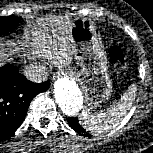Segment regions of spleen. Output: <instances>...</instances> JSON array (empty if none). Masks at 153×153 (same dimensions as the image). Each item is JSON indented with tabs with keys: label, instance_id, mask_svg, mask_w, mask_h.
<instances>
[{
	"label": "spleen",
	"instance_id": "spleen-1",
	"mask_svg": "<svg viewBox=\"0 0 153 153\" xmlns=\"http://www.w3.org/2000/svg\"><path fill=\"white\" fill-rule=\"evenodd\" d=\"M135 90L136 86L131 85L128 91L123 94L120 101L106 111L92 115L88 110H84L80 117L82 126L86 130L97 134L104 133L116 127L132 106L135 98Z\"/></svg>",
	"mask_w": 153,
	"mask_h": 153
}]
</instances>
